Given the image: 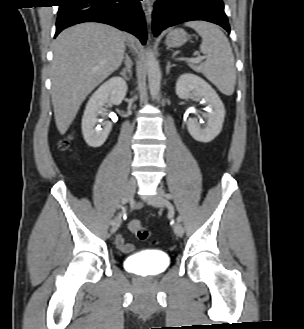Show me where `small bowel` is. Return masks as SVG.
<instances>
[{
	"label": "small bowel",
	"instance_id": "c3829d8e",
	"mask_svg": "<svg viewBox=\"0 0 304 329\" xmlns=\"http://www.w3.org/2000/svg\"><path fill=\"white\" fill-rule=\"evenodd\" d=\"M115 244L117 248L123 253H131L135 250V246L126 242L125 237L122 234L116 236Z\"/></svg>",
	"mask_w": 304,
	"mask_h": 329
}]
</instances>
